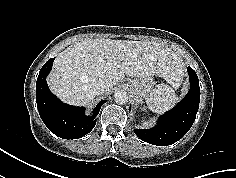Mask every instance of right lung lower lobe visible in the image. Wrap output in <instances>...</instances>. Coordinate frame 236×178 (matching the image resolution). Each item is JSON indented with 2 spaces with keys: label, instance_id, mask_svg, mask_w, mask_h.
<instances>
[{
  "label": "right lung lower lobe",
  "instance_id": "1",
  "mask_svg": "<svg viewBox=\"0 0 236 178\" xmlns=\"http://www.w3.org/2000/svg\"><path fill=\"white\" fill-rule=\"evenodd\" d=\"M55 58L49 59L39 72L36 82L37 108L42 121L55 135L63 139H77L88 134L95 126V117L102 104L100 101L93 110L92 117L85 116V108L62 103L51 93L46 76L52 69Z\"/></svg>",
  "mask_w": 236,
  "mask_h": 178
}]
</instances>
